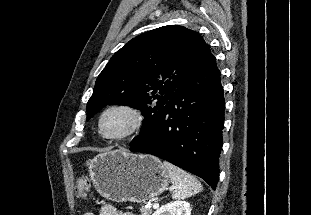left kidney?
<instances>
[{"label":"left kidney","instance_id":"1","mask_svg":"<svg viewBox=\"0 0 311 215\" xmlns=\"http://www.w3.org/2000/svg\"><path fill=\"white\" fill-rule=\"evenodd\" d=\"M153 215H191V207L186 201H175L160 207Z\"/></svg>","mask_w":311,"mask_h":215}]
</instances>
